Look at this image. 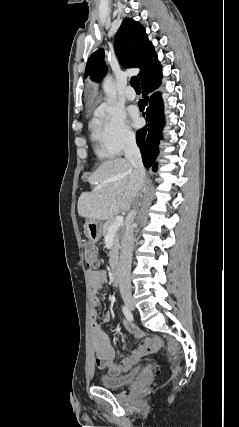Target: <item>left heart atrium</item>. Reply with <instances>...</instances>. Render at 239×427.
Returning <instances> with one entry per match:
<instances>
[{
  "label": "left heart atrium",
  "instance_id": "39dd6f15",
  "mask_svg": "<svg viewBox=\"0 0 239 427\" xmlns=\"http://www.w3.org/2000/svg\"><path fill=\"white\" fill-rule=\"evenodd\" d=\"M130 117H131V122H132L133 126L139 127L141 124V119H140V116H139L137 109H135V108L131 109Z\"/></svg>",
  "mask_w": 239,
  "mask_h": 427
}]
</instances>
